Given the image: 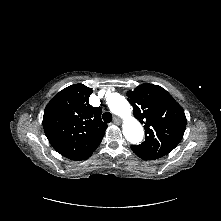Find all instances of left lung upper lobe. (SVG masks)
<instances>
[{
    "mask_svg": "<svg viewBox=\"0 0 221 221\" xmlns=\"http://www.w3.org/2000/svg\"><path fill=\"white\" fill-rule=\"evenodd\" d=\"M127 96L146 133L141 145H132L133 152L144 160H155L172 151L185 132L183 108L158 85L141 84Z\"/></svg>",
    "mask_w": 221,
    "mask_h": 221,
    "instance_id": "5c2ea615",
    "label": "left lung upper lobe"
}]
</instances>
